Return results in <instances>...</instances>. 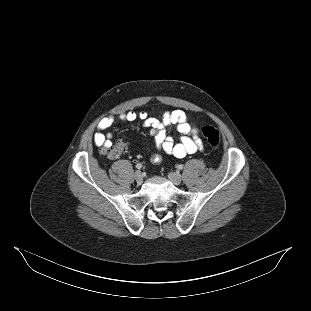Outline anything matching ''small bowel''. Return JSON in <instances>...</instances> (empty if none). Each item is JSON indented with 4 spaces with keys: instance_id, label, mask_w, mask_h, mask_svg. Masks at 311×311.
<instances>
[{
    "instance_id": "small-bowel-1",
    "label": "small bowel",
    "mask_w": 311,
    "mask_h": 311,
    "mask_svg": "<svg viewBox=\"0 0 311 311\" xmlns=\"http://www.w3.org/2000/svg\"><path fill=\"white\" fill-rule=\"evenodd\" d=\"M138 118L143 121L144 127L150 130L157 149L167 155L181 159L198 152L203 147L198 129L188 121L186 114L182 110L165 112L161 119L149 117L145 112L136 113L130 111L120 115V120L123 122L134 121ZM113 123L114 119L112 116L105 117L99 121L97 132L94 135V142L97 146L110 145L111 135L104 133V131L110 128ZM172 127H176L181 134L179 143H175L173 138L168 135ZM151 161L159 163L161 155L158 153L152 155Z\"/></svg>"
}]
</instances>
